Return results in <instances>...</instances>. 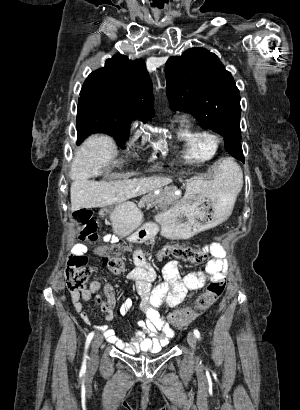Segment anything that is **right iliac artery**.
Instances as JSON below:
<instances>
[{
  "mask_svg": "<svg viewBox=\"0 0 300 410\" xmlns=\"http://www.w3.org/2000/svg\"><path fill=\"white\" fill-rule=\"evenodd\" d=\"M93 336H94V332L89 333L88 336H87L86 344H85V354H84V360H83V364H82V369H85V368H86V358H87L86 353H87V349H88V347H89V344H90V342H91Z\"/></svg>",
  "mask_w": 300,
  "mask_h": 410,
  "instance_id": "1",
  "label": "right iliac artery"
}]
</instances>
